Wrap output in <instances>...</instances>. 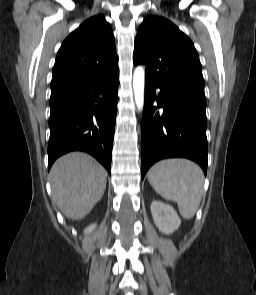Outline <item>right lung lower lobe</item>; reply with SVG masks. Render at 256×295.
Segmentation results:
<instances>
[{
	"mask_svg": "<svg viewBox=\"0 0 256 295\" xmlns=\"http://www.w3.org/2000/svg\"><path fill=\"white\" fill-rule=\"evenodd\" d=\"M118 68L51 90L48 170L70 151H84L111 170Z\"/></svg>",
	"mask_w": 256,
	"mask_h": 295,
	"instance_id": "right-lung-lower-lobe-1",
	"label": "right lung lower lobe"
}]
</instances>
